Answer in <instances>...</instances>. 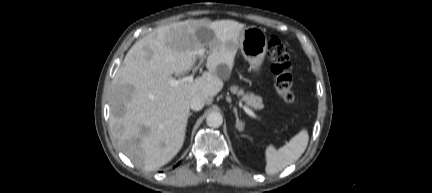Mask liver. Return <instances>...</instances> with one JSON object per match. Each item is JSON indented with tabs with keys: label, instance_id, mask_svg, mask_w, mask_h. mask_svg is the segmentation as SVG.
I'll list each match as a JSON object with an SVG mask.
<instances>
[{
	"label": "liver",
	"instance_id": "6515ba94",
	"mask_svg": "<svg viewBox=\"0 0 432 193\" xmlns=\"http://www.w3.org/2000/svg\"><path fill=\"white\" fill-rule=\"evenodd\" d=\"M244 28L234 20L189 19L159 27L130 48L112 81L109 125L117 146L136 166L157 170L180 151L192 97L201 95L211 104L222 90L218 70L225 67L228 77ZM206 30L213 37L202 42ZM205 46L208 71L170 86L168 79L192 69Z\"/></svg>",
	"mask_w": 432,
	"mask_h": 193
}]
</instances>
